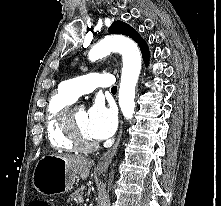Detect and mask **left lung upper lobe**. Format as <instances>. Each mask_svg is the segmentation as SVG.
I'll return each mask as SVG.
<instances>
[{
	"label": "left lung upper lobe",
	"mask_w": 221,
	"mask_h": 206,
	"mask_svg": "<svg viewBox=\"0 0 221 206\" xmlns=\"http://www.w3.org/2000/svg\"><path fill=\"white\" fill-rule=\"evenodd\" d=\"M108 31L113 34H123L135 40L141 49L145 64L148 65L149 51L147 44L132 27H130L128 24L124 22L116 21L109 27Z\"/></svg>",
	"instance_id": "left-lung-upper-lobe-1"
}]
</instances>
